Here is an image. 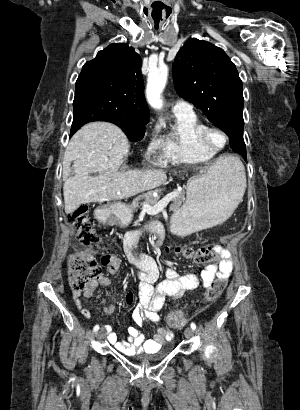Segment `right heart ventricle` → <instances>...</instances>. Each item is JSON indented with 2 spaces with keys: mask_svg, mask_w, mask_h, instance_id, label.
Instances as JSON below:
<instances>
[{
  "mask_svg": "<svg viewBox=\"0 0 300 410\" xmlns=\"http://www.w3.org/2000/svg\"><path fill=\"white\" fill-rule=\"evenodd\" d=\"M206 125L195 112L174 111L171 129L161 140L162 163L196 164L210 161L217 154L203 147L200 133Z\"/></svg>",
  "mask_w": 300,
  "mask_h": 410,
  "instance_id": "e07e8e85",
  "label": "right heart ventricle"
}]
</instances>
